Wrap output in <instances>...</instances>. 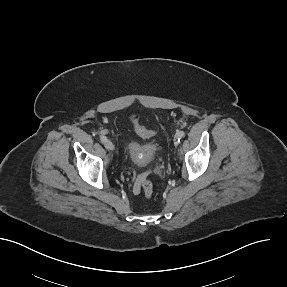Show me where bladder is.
<instances>
[{
    "label": "bladder",
    "mask_w": 287,
    "mask_h": 287,
    "mask_svg": "<svg viewBox=\"0 0 287 287\" xmlns=\"http://www.w3.org/2000/svg\"><path fill=\"white\" fill-rule=\"evenodd\" d=\"M157 146L154 144L139 145L132 142L128 146V157L130 162L136 167H147L155 159Z\"/></svg>",
    "instance_id": "bladder-1"
}]
</instances>
